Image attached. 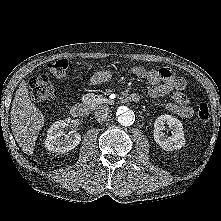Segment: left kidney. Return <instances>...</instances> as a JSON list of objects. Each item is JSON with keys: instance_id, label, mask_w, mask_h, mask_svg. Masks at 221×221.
<instances>
[{"instance_id": "1", "label": "left kidney", "mask_w": 221, "mask_h": 221, "mask_svg": "<svg viewBox=\"0 0 221 221\" xmlns=\"http://www.w3.org/2000/svg\"><path fill=\"white\" fill-rule=\"evenodd\" d=\"M165 124L172 130L170 136L163 132ZM154 127V140L165 151L181 149L185 145L183 125L177 118L161 115L155 120Z\"/></svg>"}]
</instances>
